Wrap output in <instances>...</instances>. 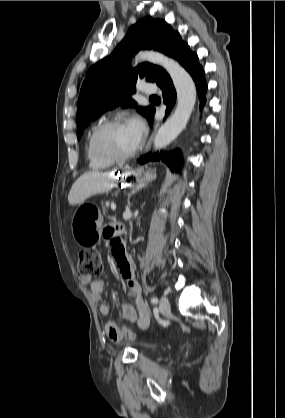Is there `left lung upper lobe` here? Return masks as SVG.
I'll return each instance as SVG.
<instances>
[{
	"label": "left lung upper lobe",
	"instance_id": "5c2ea615",
	"mask_svg": "<svg viewBox=\"0 0 285 418\" xmlns=\"http://www.w3.org/2000/svg\"><path fill=\"white\" fill-rule=\"evenodd\" d=\"M179 40L180 34L164 20L149 16L131 26L115 50L87 71L77 105V138L81 137L91 121L107 110L119 105L123 108L136 107L137 103L131 95L140 79L157 82L164 71L161 67L150 63L130 67L131 58L139 50L154 49L171 56L172 49ZM137 110L150 121L155 108L139 107Z\"/></svg>",
	"mask_w": 285,
	"mask_h": 418
}]
</instances>
